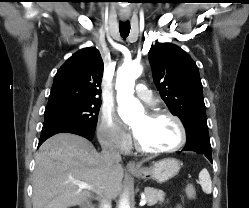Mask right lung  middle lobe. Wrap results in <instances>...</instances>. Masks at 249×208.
Wrapping results in <instances>:
<instances>
[{
	"label": "right lung middle lobe",
	"instance_id": "1",
	"mask_svg": "<svg viewBox=\"0 0 249 208\" xmlns=\"http://www.w3.org/2000/svg\"><path fill=\"white\" fill-rule=\"evenodd\" d=\"M101 100L67 102L46 107L44 122L56 121L95 131Z\"/></svg>",
	"mask_w": 249,
	"mask_h": 208
}]
</instances>
